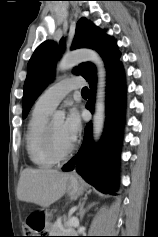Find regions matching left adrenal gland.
<instances>
[{
  "label": "left adrenal gland",
  "instance_id": "left-adrenal-gland-1",
  "mask_svg": "<svg viewBox=\"0 0 158 237\" xmlns=\"http://www.w3.org/2000/svg\"><path fill=\"white\" fill-rule=\"evenodd\" d=\"M86 198L83 199L82 202H80L79 204V212L78 215L80 216V220L83 219L85 212L88 210V208H90L91 206H93L95 203L91 204L88 206V208L84 209V204H85Z\"/></svg>",
  "mask_w": 158,
  "mask_h": 237
}]
</instances>
